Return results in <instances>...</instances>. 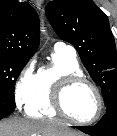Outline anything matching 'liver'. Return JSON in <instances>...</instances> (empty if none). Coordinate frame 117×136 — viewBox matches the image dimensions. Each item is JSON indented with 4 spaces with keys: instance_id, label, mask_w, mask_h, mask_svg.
<instances>
[{
    "instance_id": "liver-1",
    "label": "liver",
    "mask_w": 117,
    "mask_h": 136,
    "mask_svg": "<svg viewBox=\"0 0 117 136\" xmlns=\"http://www.w3.org/2000/svg\"><path fill=\"white\" fill-rule=\"evenodd\" d=\"M0 136H84L50 121H29L10 118L0 122Z\"/></svg>"
}]
</instances>
